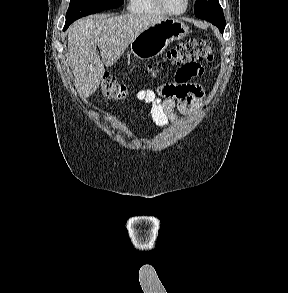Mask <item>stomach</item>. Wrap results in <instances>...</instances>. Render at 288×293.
I'll return each mask as SVG.
<instances>
[{"label": "stomach", "instance_id": "stomach-1", "mask_svg": "<svg viewBox=\"0 0 288 293\" xmlns=\"http://www.w3.org/2000/svg\"><path fill=\"white\" fill-rule=\"evenodd\" d=\"M188 27L175 18H164L153 23L130 43L131 53L142 60L151 59L165 51L170 42L183 39Z\"/></svg>", "mask_w": 288, "mask_h": 293}]
</instances>
